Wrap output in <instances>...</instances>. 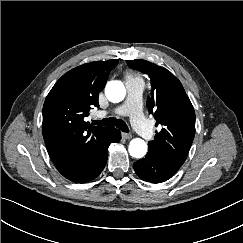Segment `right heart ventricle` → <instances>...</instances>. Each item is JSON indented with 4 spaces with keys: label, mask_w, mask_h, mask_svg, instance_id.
<instances>
[{
    "label": "right heart ventricle",
    "mask_w": 243,
    "mask_h": 243,
    "mask_svg": "<svg viewBox=\"0 0 243 243\" xmlns=\"http://www.w3.org/2000/svg\"><path fill=\"white\" fill-rule=\"evenodd\" d=\"M126 78H127V80H140L138 77H136L135 75H133L131 73H127Z\"/></svg>",
    "instance_id": "obj_1"
}]
</instances>
